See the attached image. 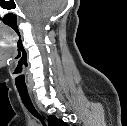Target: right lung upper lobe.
<instances>
[{
    "label": "right lung upper lobe",
    "mask_w": 127,
    "mask_h": 126,
    "mask_svg": "<svg viewBox=\"0 0 127 126\" xmlns=\"http://www.w3.org/2000/svg\"><path fill=\"white\" fill-rule=\"evenodd\" d=\"M49 126H67L66 123H64L61 120H58L55 116L50 115L48 118Z\"/></svg>",
    "instance_id": "cb5924a9"
}]
</instances>
